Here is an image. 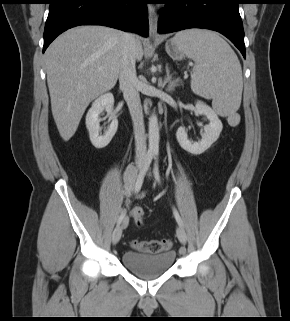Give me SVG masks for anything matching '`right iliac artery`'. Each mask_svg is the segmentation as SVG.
<instances>
[{
  "mask_svg": "<svg viewBox=\"0 0 290 321\" xmlns=\"http://www.w3.org/2000/svg\"><path fill=\"white\" fill-rule=\"evenodd\" d=\"M153 157H154V153L153 152H148L146 154V157H145V160H144V163H143V166L142 168L140 169V172L139 174L136 176V179H135V183H136V191L135 193L137 194L140 189H141V186L143 184V181H144V177L146 175V172L148 171L150 165H151V162L153 160ZM136 169V168H135ZM125 214L126 212L125 211H122L119 219H118V224L121 223V221L123 220V218L125 217Z\"/></svg>",
  "mask_w": 290,
  "mask_h": 321,
  "instance_id": "obj_1",
  "label": "right iliac artery"
}]
</instances>
